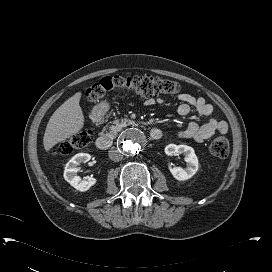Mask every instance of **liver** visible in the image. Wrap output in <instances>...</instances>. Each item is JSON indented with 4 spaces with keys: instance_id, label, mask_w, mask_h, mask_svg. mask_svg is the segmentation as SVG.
Segmentation results:
<instances>
[{
    "instance_id": "6515ba94",
    "label": "liver",
    "mask_w": 272,
    "mask_h": 272,
    "mask_svg": "<svg viewBox=\"0 0 272 272\" xmlns=\"http://www.w3.org/2000/svg\"><path fill=\"white\" fill-rule=\"evenodd\" d=\"M81 92L75 93L67 99L52 114L47 124L43 145L49 151L59 142L77 134L84 126V115L79 105Z\"/></svg>"
}]
</instances>
